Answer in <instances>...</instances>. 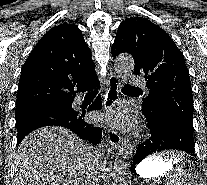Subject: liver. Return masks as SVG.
<instances>
[{
  "label": "liver",
  "mask_w": 207,
  "mask_h": 185,
  "mask_svg": "<svg viewBox=\"0 0 207 185\" xmlns=\"http://www.w3.org/2000/svg\"><path fill=\"white\" fill-rule=\"evenodd\" d=\"M13 185H84L93 169V147L65 127L29 133L15 153Z\"/></svg>",
  "instance_id": "obj_1"
}]
</instances>
